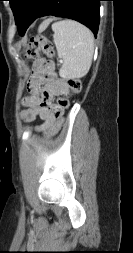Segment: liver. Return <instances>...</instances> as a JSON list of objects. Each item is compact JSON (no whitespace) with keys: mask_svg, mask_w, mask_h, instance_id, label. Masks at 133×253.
Wrapping results in <instances>:
<instances>
[{"mask_svg":"<svg viewBox=\"0 0 133 253\" xmlns=\"http://www.w3.org/2000/svg\"><path fill=\"white\" fill-rule=\"evenodd\" d=\"M52 21V19L50 18V19H47V20H45V21H43V23L39 26V32H42V31H44L46 28H47V26L49 25V23Z\"/></svg>","mask_w":133,"mask_h":253,"instance_id":"6515ba94","label":"liver"}]
</instances>
